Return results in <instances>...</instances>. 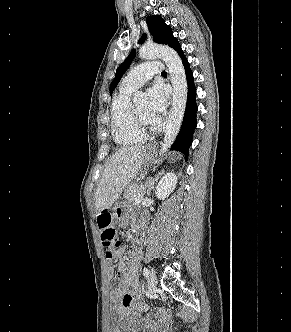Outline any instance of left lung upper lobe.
I'll list each match as a JSON object with an SVG mask.
<instances>
[{"mask_svg":"<svg viewBox=\"0 0 291 332\" xmlns=\"http://www.w3.org/2000/svg\"><path fill=\"white\" fill-rule=\"evenodd\" d=\"M148 29L153 36V40L156 43L159 44H165L176 51L181 49V46L178 42V40L173 36V32L170 28V26L165 24L164 19L159 15H152L147 17L146 19ZM146 39V34H144L141 39L139 40V43L143 42ZM136 54V51L133 50L130 55L125 59V61L117 68L116 70V76L115 79L112 81L110 85V94L114 91L116 86L118 85L121 77L127 70V68L130 66L132 60L134 59Z\"/></svg>","mask_w":291,"mask_h":332,"instance_id":"obj_1","label":"left lung upper lobe"}]
</instances>
